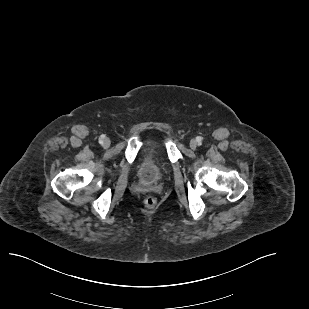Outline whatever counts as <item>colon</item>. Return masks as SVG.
Returning <instances> with one entry per match:
<instances>
[{
	"label": "colon",
	"mask_w": 309,
	"mask_h": 309,
	"mask_svg": "<svg viewBox=\"0 0 309 309\" xmlns=\"http://www.w3.org/2000/svg\"><path fill=\"white\" fill-rule=\"evenodd\" d=\"M144 204L147 208H154L157 204V200L154 197L149 196L144 200Z\"/></svg>",
	"instance_id": "obj_1"
}]
</instances>
